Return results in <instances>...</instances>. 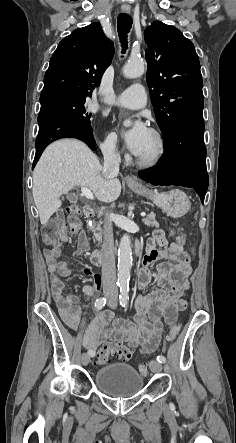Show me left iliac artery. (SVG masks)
I'll return each mask as SVG.
<instances>
[{
    "label": "left iliac artery",
    "mask_w": 236,
    "mask_h": 443,
    "mask_svg": "<svg viewBox=\"0 0 236 443\" xmlns=\"http://www.w3.org/2000/svg\"><path fill=\"white\" fill-rule=\"evenodd\" d=\"M128 292H129V286L121 287L120 295H119V300H120V305L122 307H126L127 306V303H128V300H129ZM156 359L160 363H164L166 361V358L164 356H162V355L161 356H157Z\"/></svg>",
    "instance_id": "1"
}]
</instances>
